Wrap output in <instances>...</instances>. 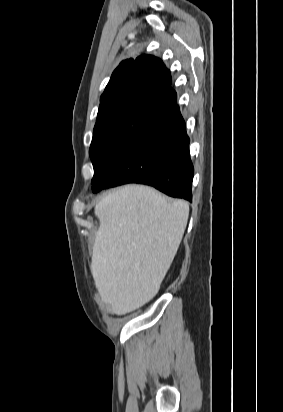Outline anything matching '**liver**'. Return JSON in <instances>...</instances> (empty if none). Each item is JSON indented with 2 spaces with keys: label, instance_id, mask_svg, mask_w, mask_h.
Instances as JSON below:
<instances>
[{
  "label": "liver",
  "instance_id": "liver-1",
  "mask_svg": "<svg viewBox=\"0 0 283 412\" xmlns=\"http://www.w3.org/2000/svg\"><path fill=\"white\" fill-rule=\"evenodd\" d=\"M95 215L92 275L112 311L124 315L157 294L184 235L189 204L126 185L104 196Z\"/></svg>",
  "mask_w": 283,
  "mask_h": 412
}]
</instances>
